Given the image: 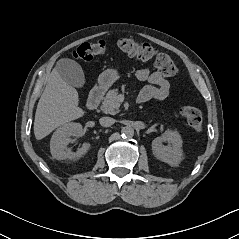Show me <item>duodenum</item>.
<instances>
[{"label": "duodenum", "mask_w": 239, "mask_h": 239, "mask_svg": "<svg viewBox=\"0 0 239 239\" xmlns=\"http://www.w3.org/2000/svg\"><path fill=\"white\" fill-rule=\"evenodd\" d=\"M103 92L104 89L101 86L93 88L87 100V106L89 109L94 110L97 108Z\"/></svg>", "instance_id": "duodenum-1"}]
</instances>
